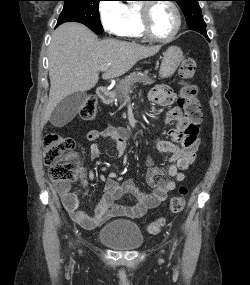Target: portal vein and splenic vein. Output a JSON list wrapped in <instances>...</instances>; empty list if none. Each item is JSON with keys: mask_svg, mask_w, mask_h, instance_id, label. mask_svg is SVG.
<instances>
[{"mask_svg": "<svg viewBox=\"0 0 250 285\" xmlns=\"http://www.w3.org/2000/svg\"><path fill=\"white\" fill-rule=\"evenodd\" d=\"M109 65H110V64H107V65L103 66L100 70H101V71H106V70L108 69Z\"/></svg>", "mask_w": 250, "mask_h": 285, "instance_id": "18ae733b", "label": "portal vein and splenic vein"}]
</instances>
